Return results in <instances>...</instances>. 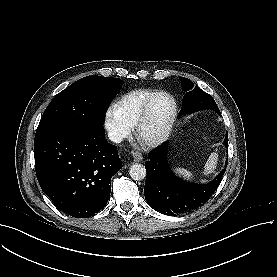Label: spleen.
<instances>
[{
  "label": "spleen",
  "instance_id": "spleen-1",
  "mask_svg": "<svg viewBox=\"0 0 277 277\" xmlns=\"http://www.w3.org/2000/svg\"><path fill=\"white\" fill-rule=\"evenodd\" d=\"M217 160H218V154L215 152L211 153V155L209 156V158L204 166L205 174H210L214 171V169L216 168V165H217ZM174 171L186 179L192 178V173L190 171H187L186 169L175 168Z\"/></svg>",
  "mask_w": 277,
  "mask_h": 277
}]
</instances>
